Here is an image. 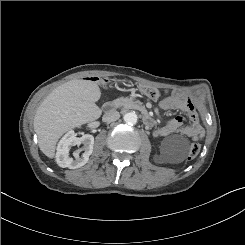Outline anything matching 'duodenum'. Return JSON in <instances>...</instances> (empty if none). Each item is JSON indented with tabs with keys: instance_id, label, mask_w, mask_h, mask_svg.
<instances>
[{
	"instance_id": "1",
	"label": "duodenum",
	"mask_w": 245,
	"mask_h": 245,
	"mask_svg": "<svg viewBox=\"0 0 245 245\" xmlns=\"http://www.w3.org/2000/svg\"><path fill=\"white\" fill-rule=\"evenodd\" d=\"M116 105H117V103H115V102H109V103L106 104L105 109L107 111H112V110L115 109ZM143 120H144V123L146 125H148V126H151L152 123H153V120H152L151 116H149L148 114H145L143 116Z\"/></svg>"
}]
</instances>
